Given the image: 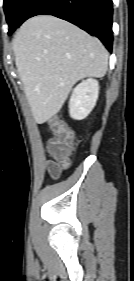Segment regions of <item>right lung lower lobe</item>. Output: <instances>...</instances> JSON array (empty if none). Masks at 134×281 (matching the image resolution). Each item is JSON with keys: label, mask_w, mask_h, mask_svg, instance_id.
Instances as JSON below:
<instances>
[{"label": "right lung lower lobe", "mask_w": 134, "mask_h": 281, "mask_svg": "<svg viewBox=\"0 0 134 281\" xmlns=\"http://www.w3.org/2000/svg\"><path fill=\"white\" fill-rule=\"evenodd\" d=\"M41 14L53 15L77 25L98 37L109 51L112 50V0H30L21 24Z\"/></svg>", "instance_id": "obj_1"}]
</instances>
